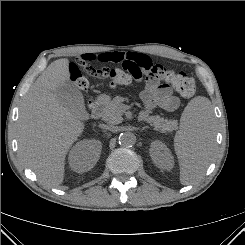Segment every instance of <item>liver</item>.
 <instances>
[{"instance_id": "obj_1", "label": "liver", "mask_w": 245, "mask_h": 245, "mask_svg": "<svg viewBox=\"0 0 245 245\" xmlns=\"http://www.w3.org/2000/svg\"><path fill=\"white\" fill-rule=\"evenodd\" d=\"M69 63L62 58L46 68L25 95L18 119L20 158L48 187L62 184L66 155L85 126L55 94L70 80Z\"/></svg>"}]
</instances>
